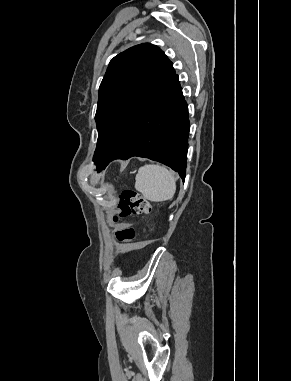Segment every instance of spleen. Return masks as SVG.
I'll list each match as a JSON object with an SVG mask.
<instances>
[{
	"label": "spleen",
	"instance_id": "obj_1",
	"mask_svg": "<svg viewBox=\"0 0 291 381\" xmlns=\"http://www.w3.org/2000/svg\"><path fill=\"white\" fill-rule=\"evenodd\" d=\"M135 189L151 202L172 199L176 191L173 173L165 167L147 164L136 175Z\"/></svg>",
	"mask_w": 291,
	"mask_h": 381
}]
</instances>
